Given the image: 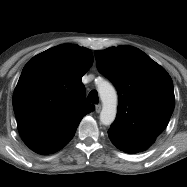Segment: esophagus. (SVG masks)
I'll return each instance as SVG.
<instances>
[{
    "label": "esophagus",
    "mask_w": 187,
    "mask_h": 187,
    "mask_svg": "<svg viewBox=\"0 0 187 187\" xmlns=\"http://www.w3.org/2000/svg\"><path fill=\"white\" fill-rule=\"evenodd\" d=\"M101 109H102V107H101L100 104L95 106V111H96L97 113H99V112L101 111Z\"/></svg>",
    "instance_id": "1"
}]
</instances>
